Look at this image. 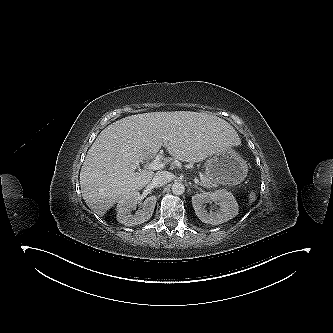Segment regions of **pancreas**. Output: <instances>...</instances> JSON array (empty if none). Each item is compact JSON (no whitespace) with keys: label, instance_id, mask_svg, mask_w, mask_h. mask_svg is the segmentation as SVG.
Segmentation results:
<instances>
[{"label":"pancreas","instance_id":"obj_1","mask_svg":"<svg viewBox=\"0 0 333 333\" xmlns=\"http://www.w3.org/2000/svg\"><path fill=\"white\" fill-rule=\"evenodd\" d=\"M200 185L205 188H212L216 186V183L211 181L206 175H203L200 179Z\"/></svg>","mask_w":333,"mask_h":333}]
</instances>
